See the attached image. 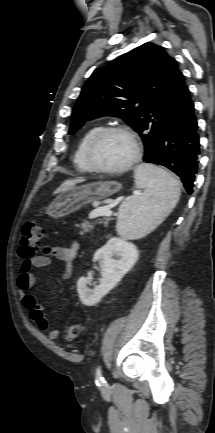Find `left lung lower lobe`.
Segmentation results:
<instances>
[{"label": "left lung lower lobe", "mask_w": 215, "mask_h": 433, "mask_svg": "<svg viewBox=\"0 0 215 433\" xmlns=\"http://www.w3.org/2000/svg\"><path fill=\"white\" fill-rule=\"evenodd\" d=\"M199 160L200 142L194 104L183 83L166 113L154 154L144 161L173 171L180 177L188 194H192Z\"/></svg>", "instance_id": "0a47b994"}]
</instances>
